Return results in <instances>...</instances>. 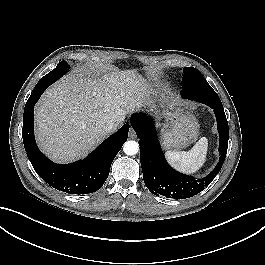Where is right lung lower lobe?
<instances>
[{
	"label": "right lung lower lobe",
	"instance_id": "98d812e1",
	"mask_svg": "<svg viewBox=\"0 0 265 265\" xmlns=\"http://www.w3.org/2000/svg\"><path fill=\"white\" fill-rule=\"evenodd\" d=\"M49 84L38 82L24 109L23 143L36 173L50 186L69 194H88L99 190L107 179L116 154L127 140L129 124L103 141L84 160L61 165L50 161L37 147L34 138V105Z\"/></svg>",
	"mask_w": 265,
	"mask_h": 265
}]
</instances>
